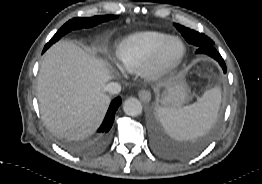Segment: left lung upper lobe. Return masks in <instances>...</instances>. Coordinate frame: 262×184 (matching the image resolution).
<instances>
[{
	"instance_id": "5c2ea615",
	"label": "left lung upper lobe",
	"mask_w": 262,
	"mask_h": 184,
	"mask_svg": "<svg viewBox=\"0 0 262 184\" xmlns=\"http://www.w3.org/2000/svg\"><path fill=\"white\" fill-rule=\"evenodd\" d=\"M174 26L177 28L179 32H181L182 36L185 38L187 42L197 46L198 48L206 45H214V42L203 33L196 32L192 29H189L176 23L174 24Z\"/></svg>"
}]
</instances>
